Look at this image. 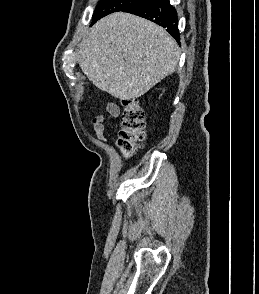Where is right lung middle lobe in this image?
I'll use <instances>...</instances> for the list:
<instances>
[{
	"label": "right lung middle lobe",
	"mask_w": 259,
	"mask_h": 294,
	"mask_svg": "<svg viewBox=\"0 0 259 294\" xmlns=\"http://www.w3.org/2000/svg\"><path fill=\"white\" fill-rule=\"evenodd\" d=\"M137 1L139 0H101L94 11L92 23L110 13L122 11Z\"/></svg>",
	"instance_id": "obj_1"
}]
</instances>
